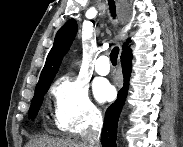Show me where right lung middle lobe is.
<instances>
[{"label":"right lung middle lobe","mask_w":183,"mask_h":147,"mask_svg":"<svg viewBox=\"0 0 183 147\" xmlns=\"http://www.w3.org/2000/svg\"><path fill=\"white\" fill-rule=\"evenodd\" d=\"M48 89H49V87L35 90V95L32 99V104L29 109V119H35V117L40 109V106L42 104L43 96L46 94Z\"/></svg>","instance_id":"right-lung-middle-lobe-1"}]
</instances>
